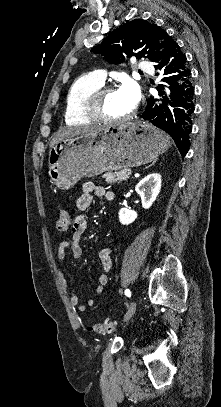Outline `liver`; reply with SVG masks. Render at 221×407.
Instances as JSON below:
<instances>
[{"mask_svg": "<svg viewBox=\"0 0 221 407\" xmlns=\"http://www.w3.org/2000/svg\"><path fill=\"white\" fill-rule=\"evenodd\" d=\"M101 129H102L101 127H93V126L68 127V128L60 129L54 134V136L50 142V148H52L55 144H57L58 142H60L61 140L65 139L67 137L76 136V135H80V134H91V133H94Z\"/></svg>", "mask_w": 221, "mask_h": 407, "instance_id": "obj_1", "label": "liver"}]
</instances>
